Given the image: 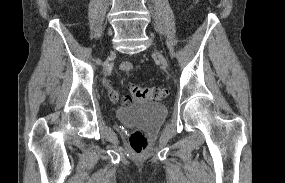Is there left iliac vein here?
Masks as SVG:
<instances>
[{
  "mask_svg": "<svg viewBox=\"0 0 285 183\" xmlns=\"http://www.w3.org/2000/svg\"><path fill=\"white\" fill-rule=\"evenodd\" d=\"M156 54H157V56H158L159 61L161 62V64H162L164 67H167V61H166V59L164 58V56H163L160 52H158V51H156Z\"/></svg>",
  "mask_w": 285,
  "mask_h": 183,
  "instance_id": "left-iliac-vein-1",
  "label": "left iliac vein"
}]
</instances>
